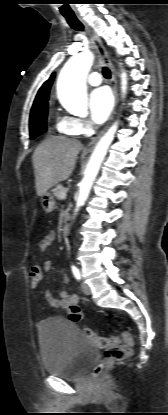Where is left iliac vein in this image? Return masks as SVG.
Listing matches in <instances>:
<instances>
[{"instance_id": "left-iliac-vein-1", "label": "left iliac vein", "mask_w": 168, "mask_h": 415, "mask_svg": "<svg viewBox=\"0 0 168 415\" xmlns=\"http://www.w3.org/2000/svg\"><path fill=\"white\" fill-rule=\"evenodd\" d=\"M81 287H82L83 292L86 295H90L91 294V289H90V287L86 283L82 282L81 283Z\"/></svg>"}]
</instances>
